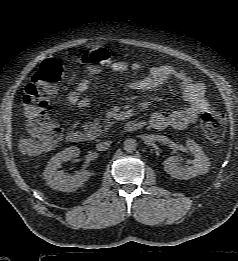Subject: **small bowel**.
Instances as JSON below:
<instances>
[{
  "label": "small bowel",
  "instance_id": "c3829d8e",
  "mask_svg": "<svg viewBox=\"0 0 238 261\" xmlns=\"http://www.w3.org/2000/svg\"><path fill=\"white\" fill-rule=\"evenodd\" d=\"M111 70L117 73L128 70L140 73L143 70V65L139 62L129 64L125 61H113ZM168 80H175L179 84L187 106L169 114L153 113L150 117V125L155 130H164L167 127L183 129L194 123L209 106L205 95V86L194 81L184 71L171 65H158L149 68L146 74L131 82L129 87L135 91L149 92L160 88ZM90 84L89 79L80 81L76 89L68 95V103L79 108L88 107L90 99L82 94L89 89Z\"/></svg>",
  "mask_w": 238,
  "mask_h": 261
}]
</instances>
